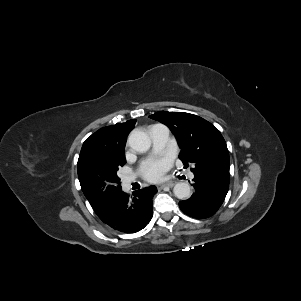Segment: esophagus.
Wrapping results in <instances>:
<instances>
[{
	"label": "esophagus",
	"mask_w": 301,
	"mask_h": 301,
	"mask_svg": "<svg viewBox=\"0 0 301 301\" xmlns=\"http://www.w3.org/2000/svg\"><path fill=\"white\" fill-rule=\"evenodd\" d=\"M174 185H175L174 182H168L165 184H159L157 187H158V189H163L165 187L172 188Z\"/></svg>",
	"instance_id": "34e87169"
}]
</instances>
